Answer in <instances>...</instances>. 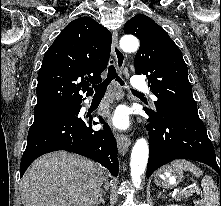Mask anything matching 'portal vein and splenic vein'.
<instances>
[{
  "label": "portal vein and splenic vein",
  "mask_w": 221,
  "mask_h": 206,
  "mask_svg": "<svg viewBox=\"0 0 221 206\" xmlns=\"http://www.w3.org/2000/svg\"><path fill=\"white\" fill-rule=\"evenodd\" d=\"M190 190L195 191L197 194H200V189L197 186L192 187Z\"/></svg>",
  "instance_id": "18ae733b"
}]
</instances>
